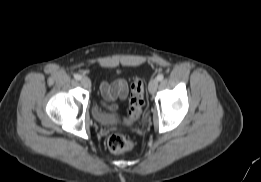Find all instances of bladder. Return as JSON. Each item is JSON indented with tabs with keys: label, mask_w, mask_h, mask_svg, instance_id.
Returning a JSON list of instances; mask_svg holds the SVG:
<instances>
[{
	"label": "bladder",
	"mask_w": 261,
	"mask_h": 182,
	"mask_svg": "<svg viewBox=\"0 0 261 182\" xmlns=\"http://www.w3.org/2000/svg\"><path fill=\"white\" fill-rule=\"evenodd\" d=\"M94 119L101 124H112L116 121V115L106 112L99 108L98 104L94 102L92 106Z\"/></svg>",
	"instance_id": "bladder-1"
}]
</instances>
